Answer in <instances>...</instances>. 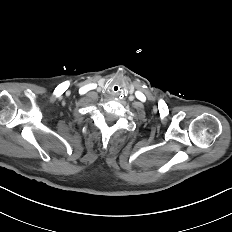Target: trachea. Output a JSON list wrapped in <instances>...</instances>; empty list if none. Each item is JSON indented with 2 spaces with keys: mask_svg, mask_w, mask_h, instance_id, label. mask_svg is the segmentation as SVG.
I'll list each match as a JSON object with an SVG mask.
<instances>
[{
  "mask_svg": "<svg viewBox=\"0 0 232 232\" xmlns=\"http://www.w3.org/2000/svg\"><path fill=\"white\" fill-rule=\"evenodd\" d=\"M111 91L113 93H119L121 91V86L119 84H114L112 87H111Z\"/></svg>",
  "mask_w": 232,
  "mask_h": 232,
  "instance_id": "1",
  "label": "trachea"
}]
</instances>
